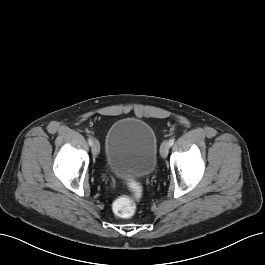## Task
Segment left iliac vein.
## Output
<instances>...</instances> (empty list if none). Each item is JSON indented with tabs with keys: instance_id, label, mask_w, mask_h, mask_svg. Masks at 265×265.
Segmentation results:
<instances>
[{
	"instance_id": "4c4485c4",
	"label": "left iliac vein",
	"mask_w": 265,
	"mask_h": 265,
	"mask_svg": "<svg viewBox=\"0 0 265 265\" xmlns=\"http://www.w3.org/2000/svg\"><path fill=\"white\" fill-rule=\"evenodd\" d=\"M169 142L168 141H164L162 144H161V147H160V154H161V157L162 158H166L167 155H168V152H169Z\"/></svg>"
}]
</instances>
